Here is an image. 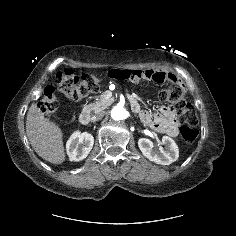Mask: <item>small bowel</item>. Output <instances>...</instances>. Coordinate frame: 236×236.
Segmentation results:
<instances>
[{
  "label": "small bowel",
  "instance_id": "c3829d8e",
  "mask_svg": "<svg viewBox=\"0 0 236 236\" xmlns=\"http://www.w3.org/2000/svg\"><path fill=\"white\" fill-rule=\"evenodd\" d=\"M107 75L111 81L121 83H134L142 80L153 81L156 83L169 82L175 85H182L181 80L172 73L159 69L136 70L134 67H124L119 70L112 67ZM141 120L147 126L169 136L178 135L179 124L174 118V111L169 107H163L160 111L152 115L146 110L140 112Z\"/></svg>",
  "mask_w": 236,
  "mask_h": 236
}]
</instances>
